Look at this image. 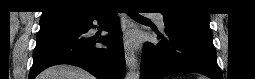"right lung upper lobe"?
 <instances>
[{
	"instance_id": "obj_1",
	"label": "right lung upper lobe",
	"mask_w": 255,
	"mask_h": 79,
	"mask_svg": "<svg viewBox=\"0 0 255 79\" xmlns=\"http://www.w3.org/2000/svg\"><path fill=\"white\" fill-rule=\"evenodd\" d=\"M100 10L98 6L85 0H49L46 3L45 11L42 12L41 18L61 13H71L80 19L97 14Z\"/></svg>"
}]
</instances>
